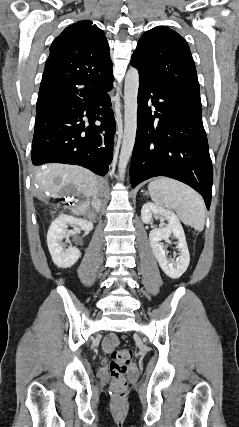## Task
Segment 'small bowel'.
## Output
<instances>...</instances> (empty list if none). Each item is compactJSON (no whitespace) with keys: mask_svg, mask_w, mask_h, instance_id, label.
Segmentation results:
<instances>
[{"mask_svg":"<svg viewBox=\"0 0 239 427\" xmlns=\"http://www.w3.org/2000/svg\"><path fill=\"white\" fill-rule=\"evenodd\" d=\"M118 344L116 335H110L103 341V349L105 352H110Z\"/></svg>","mask_w":239,"mask_h":427,"instance_id":"c3829d8e","label":"small bowel"}]
</instances>
